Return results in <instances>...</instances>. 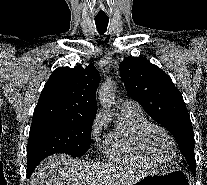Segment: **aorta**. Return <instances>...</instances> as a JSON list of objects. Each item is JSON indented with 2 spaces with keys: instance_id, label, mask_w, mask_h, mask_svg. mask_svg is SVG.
Masks as SVG:
<instances>
[{
  "instance_id": "1",
  "label": "aorta",
  "mask_w": 207,
  "mask_h": 185,
  "mask_svg": "<svg viewBox=\"0 0 207 185\" xmlns=\"http://www.w3.org/2000/svg\"><path fill=\"white\" fill-rule=\"evenodd\" d=\"M116 85L108 78L101 86L98 92V99L102 108L109 109L114 102Z\"/></svg>"
}]
</instances>
